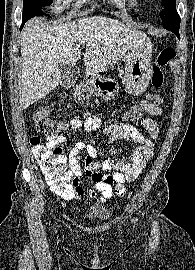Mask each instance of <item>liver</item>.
Returning a JSON list of instances; mask_svg holds the SVG:
<instances>
[{
    "instance_id": "1",
    "label": "liver",
    "mask_w": 195,
    "mask_h": 270,
    "mask_svg": "<svg viewBox=\"0 0 195 270\" xmlns=\"http://www.w3.org/2000/svg\"><path fill=\"white\" fill-rule=\"evenodd\" d=\"M146 34L116 19L93 16L51 25L44 18L29 21L21 33V98L27 108L60 84V65L75 64L80 45L90 74L116 65Z\"/></svg>"
}]
</instances>
